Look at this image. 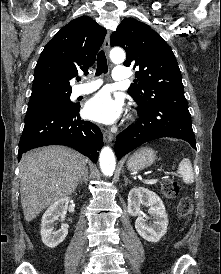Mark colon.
I'll list each match as a JSON object with an SVG mask.
<instances>
[{
	"label": "colon",
	"mask_w": 221,
	"mask_h": 274,
	"mask_svg": "<svg viewBox=\"0 0 221 274\" xmlns=\"http://www.w3.org/2000/svg\"><path fill=\"white\" fill-rule=\"evenodd\" d=\"M161 190L167 199H175L179 194V185L174 179L168 178L162 182ZM177 210L180 217L188 218L193 211L191 199L188 197L181 198L178 202Z\"/></svg>",
	"instance_id": "colon-1"
}]
</instances>
